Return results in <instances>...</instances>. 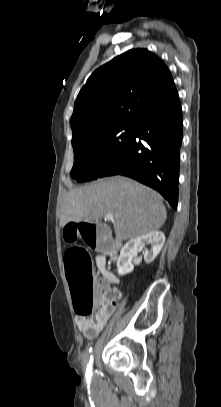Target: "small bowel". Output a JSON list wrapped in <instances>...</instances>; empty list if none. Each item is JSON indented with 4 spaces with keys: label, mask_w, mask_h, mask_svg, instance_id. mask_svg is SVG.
Wrapping results in <instances>:
<instances>
[{
    "label": "small bowel",
    "mask_w": 221,
    "mask_h": 407,
    "mask_svg": "<svg viewBox=\"0 0 221 407\" xmlns=\"http://www.w3.org/2000/svg\"><path fill=\"white\" fill-rule=\"evenodd\" d=\"M95 263L99 273L98 287L101 291L111 294L115 303L121 293L117 289H113L112 285L117 284L119 279L108 269L105 255H97ZM114 303H103L93 317H76L78 328L87 338H95L102 331L112 314Z\"/></svg>",
    "instance_id": "1"
}]
</instances>
